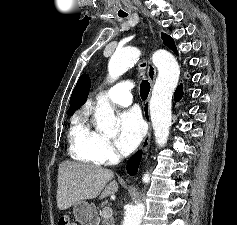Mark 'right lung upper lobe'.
<instances>
[{"instance_id": "cb5924a9", "label": "right lung upper lobe", "mask_w": 237, "mask_h": 225, "mask_svg": "<svg viewBox=\"0 0 237 225\" xmlns=\"http://www.w3.org/2000/svg\"><path fill=\"white\" fill-rule=\"evenodd\" d=\"M90 90V78L88 75L83 74L80 76L70 98V106L68 110V115L72 113L73 110L79 108L83 105L87 99Z\"/></svg>"}]
</instances>
